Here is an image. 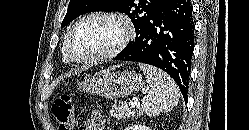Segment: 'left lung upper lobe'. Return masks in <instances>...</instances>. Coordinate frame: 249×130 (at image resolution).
Returning a JSON list of instances; mask_svg holds the SVG:
<instances>
[{"label": "left lung upper lobe", "instance_id": "5c2ea615", "mask_svg": "<svg viewBox=\"0 0 249 130\" xmlns=\"http://www.w3.org/2000/svg\"><path fill=\"white\" fill-rule=\"evenodd\" d=\"M162 2L163 0H70L61 26H66L87 12L113 10L129 16L137 35L144 21L154 13Z\"/></svg>", "mask_w": 249, "mask_h": 130}]
</instances>
